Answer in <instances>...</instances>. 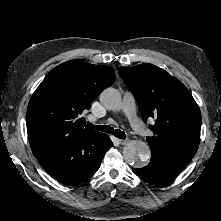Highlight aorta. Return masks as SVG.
I'll return each instance as SVG.
<instances>
[{
    "mask_svg": "<svg viewBox=\"0 0 221 221\" xmlns=\"http://www.w3.org/2000/svg\"><path fill=\"white\" fill-rule=\"evenodd\" d=\"M101 104L108 110H116L121 105V94L114 88H107L100 94ZM125 161L135 167H141L150 158V148L142 141H130L123 150Z\"/></svg>",
    "mask_w": 221,
    "mask_h": 221,
    "instance_id": "aorta-1",
    "label": "aorta"
}]
</instances>
